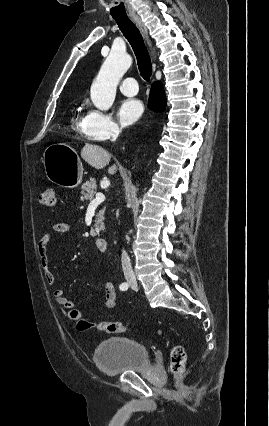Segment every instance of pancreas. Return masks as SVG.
<instances>
[{
    "instance_id": "1",
    "label": "pancreas",
    "mask_w": 269,
    "mask_h": 426,
    "mask_svg": "<svg viewBox=\"0 0 269 426\" xmlns=\"http://www.w3.org/2000/svg\"><path fill=\"white\" fill-rule=\"evenodd\" d=\"M81 200H92L96 194L97 185L94 178L90 179V181H86L81 187ZM104 212L105 209L99 211L95 219V228H92L90 231L91 236L95 237L99 235L101 230H104Z\"/></svg>"
}]
</instances>
